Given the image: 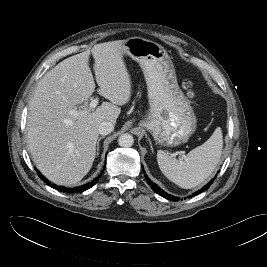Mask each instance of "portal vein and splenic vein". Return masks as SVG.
I'll return each mask as SVG.
<instances>
[{
    "mask_svg": "<svg viewBox=\"0 0 267 267\" xmlns=\"http://www.w3.org/2000/svg\"><path fill=\"white\" fill-rule=\"evenodd\" d=\"M97 104H98V98H94L91 100L89 106L91 109H94L97 106ZM69 113L74 115V116H78L80 114V112L78 110H75V109L70 110Z\"/></svg>",
    "mask_w": 267,
    "mask_h": 267,
    "instance_id": "portal-vein-and-splenic-vein-1",
    "label": "portal vein and splenic vein"
}]
</instances>
